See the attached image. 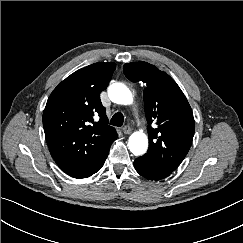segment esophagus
<instances>
[{
	"label": "esophagus",
	"instance_id": "esophagus-1",
	"mask_svg": "<svg viewBox=\"0 0 243 243\" xmlns=\"http://www.w3.org/2000/svg\"><path fill=\"white\" fill-rule=\"evenodd\" d=\"M122 131H123L124 134H130L131 131H132V129H131L130 126L126 125V126H124V127L122 128Z\"/></svg>",
	"mask_w": 243,
	"mask_h": 243
}]
</instances>
